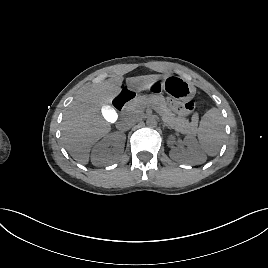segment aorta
Wrapping results in <instances>:
<instances>
[{
  "mask_svg": "<svg viewBox=\"0 0 268 268\" xmlns=\"http://www.w3.org/2000/svg\"><path fill=\"white\" fill-rule=\"evenodd\" d=\"M157 119L154 116H150L148 117V119L146 120V125L150 128H156L157 127Z\"/></svg>",
  "mask_w": 268,
  "mask_h": 268,
  "instance_id": "1",
  "label": "aorta"
}]
</instances>
